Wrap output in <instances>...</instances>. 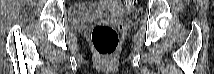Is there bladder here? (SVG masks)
I'll return each mask as SVG.
<instances>
[{"instance_id": "bladder-1", "label": "bladder", "mask_w": 214, "mask_h": 74, "mask_svg": "<svg viewBox=\"0 0 214 74\" xmlns=\"http://www.w3.org/2000/svg\"><path fill=\"white\" fill-rule=\"evenodd\" d=\"M112 11L108 9H92L84 6H77L70 10L68 21L71 28L81 27L95 20L106 18L112 15Z\"/></svg>"}]
</instances>
